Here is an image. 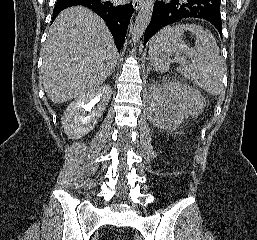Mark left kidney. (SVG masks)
I'll list each match as a JSON object with an SVG mask.
<instances>
[{
	"instance_id": "obj_1",
	"label": "left kidney",
	"mask_w": 257,
	"mask_h": 240,
	"mask_svg": "<svg viewBox=\"0 0 257 240\" xmlns=\"http://www.w3.org/2000/svg\"><path fill=\"white\" fill-rule=\"evenodd\" d=\"M204 105L199 91L177 81L152 86L148 97L150 121L165 130H176L185 118L199 114Z\"/></svg>"
}]
</instances>
